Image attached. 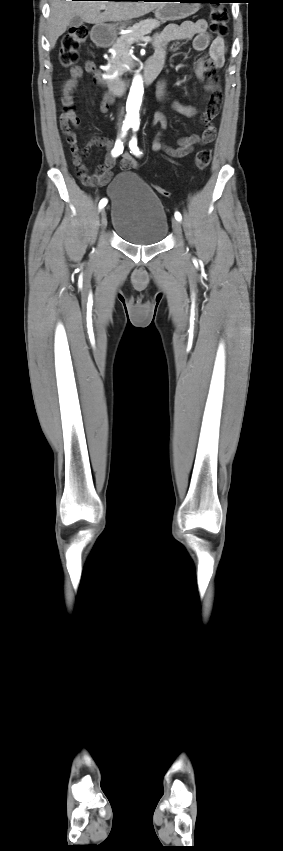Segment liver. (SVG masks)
Masks as SVG:
<instances>
[{"label":"liver","instance_id":"6515ba94","mask_svg":"<svg viewBox=\"0 0 283 851\" xmlns=\"http://www.w3.org/2000/svg\"><path fill=\"white\" fill-rule=\"evenodd\" d=\"M162 2L145 1H72L51 0L50 15L47 22V35L50 47L65 33L74 16H79L90 24L128 21L148 14L160 7ZM104 6V12L101 8Z\"/></svg>","mask_w":283,"mask_h":851}]
</instances>
